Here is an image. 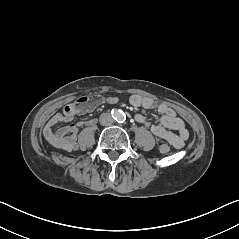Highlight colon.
I'll return each mask as SVG.
<instances>
[{"label": "colon", "instance_id": "obj_1", "mask_svg": "<svg viewBox=\"0 0 239 239\" xmlns=\"http://www.w3.org/2000/svg\"><path fill=\"white\" fill-rule=\"evenodd\" d=\"M100 101V96H86L80 98L77 102H75V107L76 109H83L90 105L98 104ZM160 151L162 153H168L170 151V146L167 144H162L160 146Z\"/></svg>", "mask_w": 239, "mask_h": 239}]
</instances>
